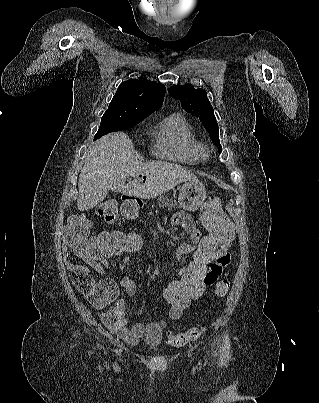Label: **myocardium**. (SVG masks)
Segmentation results:
<instances>
[{
	"label": "myocardium",
	"instance_id": "obj_1",
	"mask_svg": "<svg viewBox=\"0 0 319 403\" xmlns=\"http://www.w3.org/2000/svg\"><path fill=\"white\" fill-rule=\"evenodd\" d=\"M199 153L201 158H206L208 156V149L203 145H199Z\"/></svg>",
	"mask_w": 319,
	"mask_h": 403
}]
</instances>
